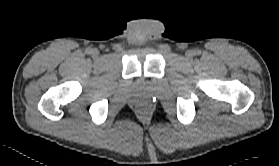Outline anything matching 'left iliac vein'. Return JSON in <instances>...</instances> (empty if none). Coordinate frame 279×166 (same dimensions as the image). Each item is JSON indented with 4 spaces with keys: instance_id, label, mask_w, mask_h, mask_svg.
<instances>
[{
    "instance_id": "left-iliac-vein-1",
    "label": "left iliac vein",
    "mask_w": 279,
    "mask_h": 166,
    "mask_svg": "<svg viewBox=\"0 0 279 166\" xmlns=\"http://www.w3.org/2000/svg\"><path fill=\"white\" fill-rule=\"evenodd\" d=\"M186 56L188 57V58H191L192 56H193V52L192 51H187L186 52Z\"/></svg>"
}]
</instances>
